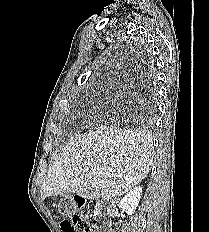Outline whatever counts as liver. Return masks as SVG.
Instances as JSON below:
<instances>
[{"label":"liver","mask_w":209,"mask_h":232,"mask_svg":"<svg viewBox=\"0 0 209 232\" xmlns=\"http://www.w3.org/2000/svg\"><path fill=\"white\" fill-rule=\"evenodd\" d=\"M153 155L152 137L146 131H91L57 156L41 187V199L66 192L85 199H116L147 176Z\"/></svg>","instance_id":"obj_1"}]
</instances>
